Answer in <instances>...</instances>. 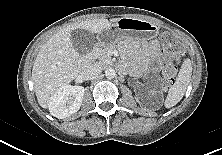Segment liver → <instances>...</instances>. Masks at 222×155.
<instances>
[{
	"label": "liver",
	"mask_w": 222,
	"mask_h": 155,
	"mask_svg": "<svg viewBox=\"0 0 222 155\" xmlns=\"http://www.w3.org/2000/svg\"><path fill=\"white\" fill-rule=\"evenodd\" d=\"M120 18L92 19L68 25L56 32L39 50L32 68V81L38 103L49 107L51 97L62 86L72 82L81 72V59L71 42L75 29L100 33Z\"/></svg>",
	"instance_id": "1"
}]
</instances>
